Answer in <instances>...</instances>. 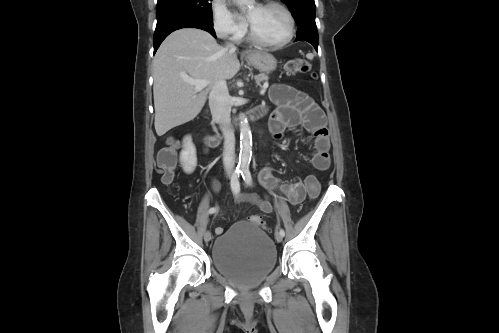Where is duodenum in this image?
<instances>
[{"mask_svg":"<svg viewBox=\"0 0 499 333\" xmlns=\"http://www.w3.org/2000/svg\"><path fill=\"white\" fill-rule=\"evenodd\" d=\"M265 114V111L259 107H256V108H253V109H250L248 111H246L245 113H242L240 115H237L233 122H234V125L236 127H239L242 122H244V120H249V121H257L259 119H261Z\"/></svg>","mask_w":499,"mask_h":333,"instance_id":"duodenum-1","label":"duodenum"}]
</instances>
